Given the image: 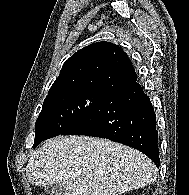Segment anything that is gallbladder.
<instances>
[{
  "mask_svg": "<svg viewBox=\"0 0 189 195\" xmlns=\"http://www.w3.org/2000/svg\"><path fill=\"white\" fill-rule=\"evenodd\" d=\"M44 191L47 195H63L64 187L58 183H51L44 187Z\"/></svg>",
  "mask_w": 189,
  "mask_h": 195,
  "instance_id": "gallbladder-1",
  "label": "gallbladder"
}]
</instances>
